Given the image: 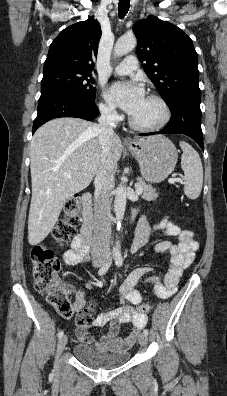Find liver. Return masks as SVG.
Listing matches in <instances>:
<instances>
[{"label":"liver","mask_w":227,"mask_h":396,"mask_svg":"<svg viewBox=\"0 0 227 396\" xmlns=\"http://www.w3.org/2000/svg\"><path fill=\"white\" fill-rule=\"evenodd\" d=\"M95 124L80 118H56L41 126L31 141L32 198L28 217L30 245L42 242L54 228L67 199L89 186L102 162ZM120 138L110 139L109 156L119 161ZM64 174H70L65 178Z\"/></svg>","instance_id":"liver-1"}]
</instances>
